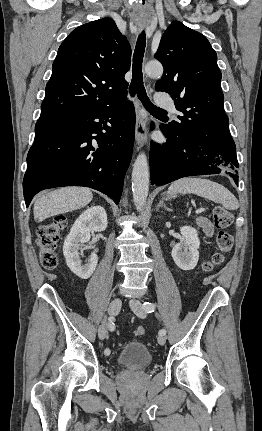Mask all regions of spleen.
<instances>
[{
	"mask_svg": "<svg viewBox=\"0 0 262 431\" xmlns=\"http://www.w3.org/2000/svg\"><path fill=\"white\" fill-rule=\"evenodd\" d=\"M196 194L208 200L222 204L228 210H236L239 207L236 197L223 185L208 179L198 177H184L174 181L169 189V195Z\"/></svg>",
	"mask_w": 262,
	"mask_h": 431,
	"instance_id": "obj_1",
	"label": "spleen"
}]
</instances>
